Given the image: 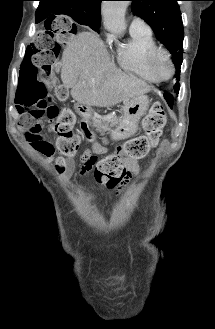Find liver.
<instances>
[{"label": "liver", "mask_w": 215, "mask_h": 329, "mask_svg": "<svg viewBox=\"0 0 215 329\" xmlns=\"http://www.w3.org/2000/svg\"><path fill=\"white\" fill-rule=\"evenodd\" d=\"M61 79L78 103L109 107L144 95L151 87L123 73L111 61L103 42L90 32L71 38L62 55Z\"/></svg>", "instance_id": "1"}]
</instances>
